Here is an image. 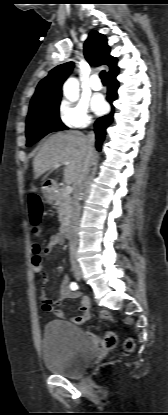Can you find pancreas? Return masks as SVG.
Listing matches in <instances>:
<instances>
[{
  "mask_svg": "<svg viewBox=\"0 0 168 415\" xmlns=\"http://www.w3.org/2000/svg\"><path fill=\"white\" fill-rule=\"evenodd\" d=\"M55 201L58 206L59 221L61 224H64L69 220L72 198L65 190H60L55 195Z\"/></svg>",
  "mask_w": 168,
  "mask_h": 415,
  "instance_id": "pancreas-1",
  "label": "pancreas"
}]
</instances>
